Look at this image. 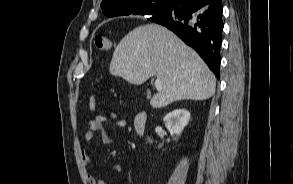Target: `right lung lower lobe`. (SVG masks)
<instances>
[{
  "label": "right lung lower lobe",
  "instance_id": "1",
  "mask_svg": "<svg viewBox=\"0 0 293 184\" xmlns=\"http://www.w3.org/2000/svg\"><path fill=\"white\" fill-rule=\"evenodd\" d=\"M203 4L201 0H172L159 17L149 20L167 27L193 47L219 79L223 8L220 0L206 7Z\"/></svg>",
  "mask_w": 293,
  "mask_h": 184
}]
</instances>
